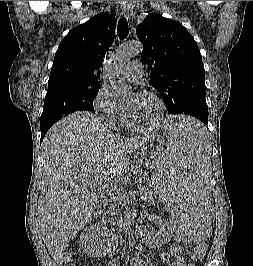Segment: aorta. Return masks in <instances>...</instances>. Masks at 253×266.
I'll return each mask as SVG.
<instances>
[{"label": "aorta", "mask_w": 253, "mask_h": 266, "mask_svg": "<svg viewBox=\"0 0 253 266\" xmlns=\"http://www.w3.org/2000/svg\"><path fill=\"white\" fill-rule=\"evenodd\" d=\"M141 51L142 44L138 41H132L130 43L121 45L116 51V61L118 63L127 62L132 57L139 55ZM110 84L117 96L126 97L131 92V87L122 80L114 79L110 81Z\"/></svg>", "instance_id": "obj_1"}]
</instances>
